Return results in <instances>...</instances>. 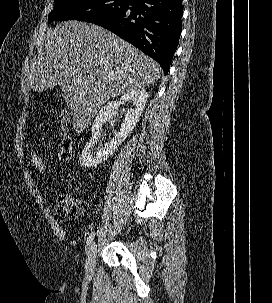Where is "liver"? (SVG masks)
Wrapping results in <instances>:
<instances>
[{
  "label": "liver",
  "instance_id": "6515ba94",
  "mask_svg": "<svg viewBox=\"0 0 272 303\" xmlns=\"http://www.w3.org/2000/svg\"><path fill=\"white\" fill-rule=\"evenodd\" d=\"M160 73L156 61L112 32L72 20L47 31L45 49L31 64L29 83L37 92L60 85L79 133L110 98L152 85Z\"/></svg>",
  "mask_w": 272,
  "mask_h": 303
}]
</instances>
